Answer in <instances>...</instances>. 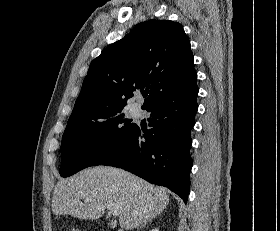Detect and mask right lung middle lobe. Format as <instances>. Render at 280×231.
I'll use <instances>...</instances> for the list:
<instances>
[{
    "mask_svg": "<svg viewBox=\"0 0 280 231\" xmlns=\"http://www.w3.org/2000/svg\"><path fill=\"white\" fill-rule=\"evenodd\" d=\"M135 128L124 111L68 120L61 143L60 175L68 177L86 167L101 165Z\"/></svg>",
    "mask_w": 280,
    "mask_h": 231,
    "instance_id": "1",
    "label": "right lung middle lobe"
}]
</instances>
